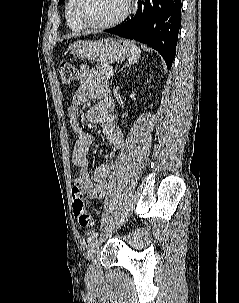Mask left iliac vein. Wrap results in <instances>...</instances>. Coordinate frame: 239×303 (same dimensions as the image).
Returning <instances> with one entry per match:
<instances>
[{
    "label": "left iliac vein",
    "mask_w": 239,
    "mask_h": 303,
    "mask_svg": "<svg viewBox=\"0 0 239 303\" xmlns=\"http://www.w3.org/2000/svg\"><path fill=\"white\" fill-rule=\"evenodd\" d=\"M99 250V243L97 240H93L87 249V253H86V257L88 260H92L94 258V256L96 255V253Z\"/></svg>",
    "instance_id": "4c4485c4"
}]
</instances>
